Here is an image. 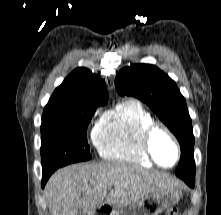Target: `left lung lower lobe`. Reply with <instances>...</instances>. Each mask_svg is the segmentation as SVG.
<instances>
[{
    "mask_svg": "<svg viewBox=\"0 0 221 215\" xmlns=\"http://www.w3.org/2000/svg\"><path fill=\"white\" fill-rule=\"evenodd\" d=\"M185 183L190 186L191 188L194 187L195 179H183Z\"/></svg>",
    "mask_w": 221,
    "mask_h": 215,
    "instance_id": "obj_1",
    "label": "left lung lower lobe"
}]
</instances>
